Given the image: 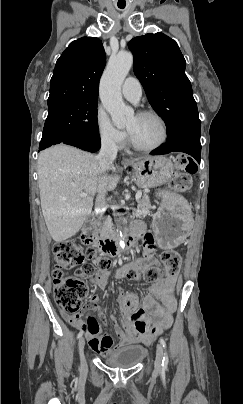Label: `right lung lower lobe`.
Here are the masks:
<instances>
[{
    "label": "right lung lower lobe",
    "instance_id": "98d812e1",
    "mask_svg": "<svg viewBox=\"0 0 243 404\" xmlns=\"http://www.w3.org/2000/svg\"><path fill=\"white\" fill-rule=\"evenodd\" d=\"M62 143L72 145L89 152H96L100 149V139L89 138L83 136H69Z\"/></svg>",
    "mask_w": 243,
    "mask_h": 404
}]
</instances>
